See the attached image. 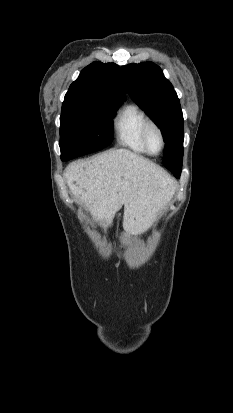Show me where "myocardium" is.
<instances>
[{
    "instance_id": "1",
    "label": "myocardium",
    "mask_w": 233,
    "mask_h": 413,
    "mask_svg": "<svg viewBox=\"0 0 233 413\" xmlns=\"http://www.w3.org/2000/svg\"><path fill=\"white\" fill-rule=\"evenodd\" d=\"M151 129L156 130V131L158 132L159 136H160V139H161V147H160V149H159L158 152H152V151L149 149V146H148V132H149ZM141 139H142V143H143V146H144L146 152H147L148 154L152 155V156L159 155V154L163 151V149H164V147H165V143H166V141H165V135H164L163 130L161 129V127H160L156 122H154V121H152V120H148V121L145 123V125L143 126L142 132H141Z\"/></svg>"
}]
</instances>
